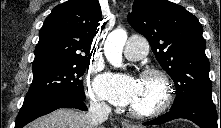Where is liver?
I'll return each instance as SVG.
<instances>
[{
	"instance_id": "liver-1",
	"label": "liver",
	"mask_w": 221,
	"mask_h": 128,
	"mask_svg": "<svg viewBox=\"0 0 221 128\" xmlns=\"http://www.w3.org/2000/svg\"><path fill=\"white\" fill-rule=\"evenodd\" d=\"M27 128H95L89 124L87 114L73 109H58L30 123ZM140 128V127H132Z\"/></svg>"
}]
</instances>
